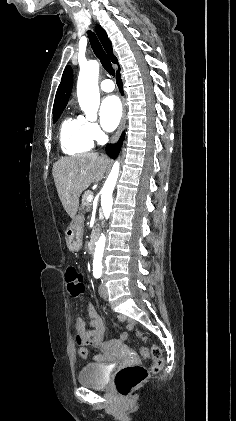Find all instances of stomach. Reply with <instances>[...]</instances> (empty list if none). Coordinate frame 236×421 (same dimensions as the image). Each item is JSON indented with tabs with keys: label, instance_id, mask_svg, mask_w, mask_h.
<instances>
[{
	"label": "stomach",
	"instance_id": "1",
	"mask_svg": "<svg viewBox=\"0 0 236 421\" xmlns=\"http://www.w3.org/2000/svg\"><path fill=\"white\" fill-rule=\"evenodd\" d=\"M65 235L66 245L69 251H79L82 247L83 239L82 217H75V219H72Z\"/></svg>",
	"mask_w": 236,
	"mask_h": 421
}]
</instances>
